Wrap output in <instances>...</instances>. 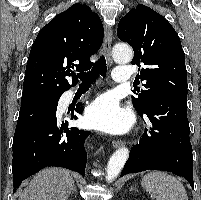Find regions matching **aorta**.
<instances>
[{
  "instance_id": "aorta-1",
  "label": "aorta",
  "mask_w": 201,
  "mask_h": 200,
  "mask_svg": "<svg viewBox=\"0 0 201 200\" xmlns=\"http://www.w3.org/2000/svg\"><path fill=\"white\" fill-rule=\"evenodd\" d=\"M113 58L120 63H129L133 58L132 49L126 44H116L112 50ZM129 156V150L125 147L119 148L116 150L113 155L110 157V160L107 165L106 179L108 182L113 181L123 166L125 165Z\"/></svg>"
}]
</instances>
